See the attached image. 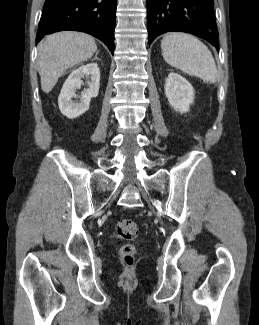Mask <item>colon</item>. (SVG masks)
<instances>
[{"label":"colon","mask_w":259,"mask_h":325,"mask_svg":"<svg viewBox=\"0 0 259 325\" xmlns=\"http://www.w3.org/2000/svg\"><path fill=\"white\" fill-rule=\"evenodd\" d=\"M138 235L137 224L130 219L120 220L116 225V236L120 239L132 241ZM136 247L133 244L127 243L120 248L121 260L126 264H132L136 255Z\"/></svg>","instance_id":"colon-1"}]
</instances>
